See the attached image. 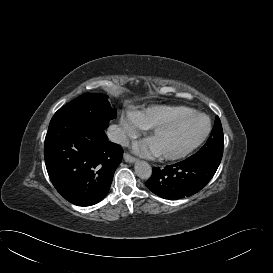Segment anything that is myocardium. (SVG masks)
I'll list each match as a JSON object with an SVG mask.
<instances>
[{
	"instance_id": "myocardium-1",
	"label": "myocardium",
	"mask_w": 273,
	"mask_h": 273,
	"mask_svg": "<svg viewBox=\"0 0 273 273\" xmlns=\"http://www.w3.org/2000/svg\"><path fill=\"white\" fill-rule=\"evenodd\" d=\"M192 117H202L206 120V128H205L203 134L192 145H190L189 147H187L186 149H184L180 152H174V153L160 152V151H157L154 149V147L151 145V139L153 138V136L155 134H157L160 131L175 127V126L179 125L180 123H182ZM210 129H211V121H210V118L205 113L198 112V111H190V112H187V113L177 117L176 119H174L171 122L161 124V125L154 127L147 134L145 140L155 150L156 155H158L159 157L165 158V159H177V158L187 155L188 153L193 151L195 148H197L200 144H202L204 142V140L207 138V136L210 132Z\"/></svg>"
}]
</instances>
